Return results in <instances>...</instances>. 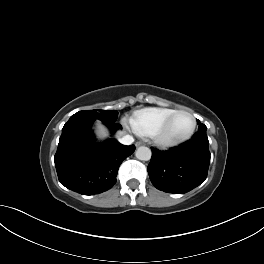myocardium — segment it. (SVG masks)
Wrapping results in <instances>:
<instances>
[{"label": "myocardium", "mask_w": 264, "mask_h": 264, "mask_svg": "<svg viewBox=\"0 0 264 264\" xmlns=\"http://www.w3.org/2000/svg\"><path fill=\"white\" fill-rule=\"evenodd\" d=\"M179 114H187L192 120V126L188 133L181 137L177 138H168L166 136L167 130L170 127L172 120ZM197 122L194 115L188 110H175L172 114H170L167 119L162 123V125L156 130L153 135V140L155 144L161 148H172L179 146L185 142H187L194 135L196 130Z\"/></svg>", "instance_id": "1"}]
</instances>
